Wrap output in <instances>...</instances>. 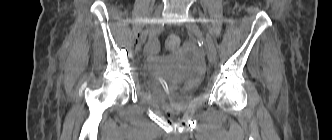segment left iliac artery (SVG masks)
Listing matches in <instances>:
<instances>
[{
    "mask_svg": "<svg viewBox=\"0 0 332 140\" xmlns=\"http://www.w3.org/2000/svg\"><path fill=\"white\" fill-rule=\"evenodd\" d=\"M206 40H207V44H208L210 51L216 55V48L213 43L212 37L209 33H206Z\"/></svg>",
    "mask_w": 332,
    "mask_h": 140,
    "instance_id": "44dca946",
    "label": "left iliac artery"
}]
</instances>
